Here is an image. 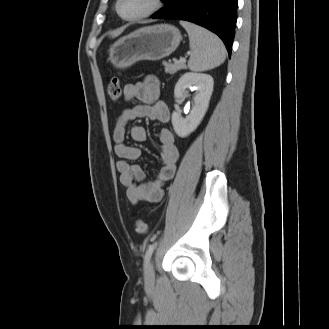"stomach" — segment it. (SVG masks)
<instances>
[{
	"label": "stomach",
	"mask_w": 329,
	"mask_h": 329,
	"mask_svg": "<svg viewBox=\"0 0 329 329\" xmlns=\"http://www.w3.org/2000/svg\"><path fill=\"white\" fill-rule=\"evenodd\" d=\"M180 41L181 33L172 25L143 27L111 45L108 60L116 68H127L140 60H160L173 53Z\"/></svg>",
	"instance_id": "1"
}]
</instances>
